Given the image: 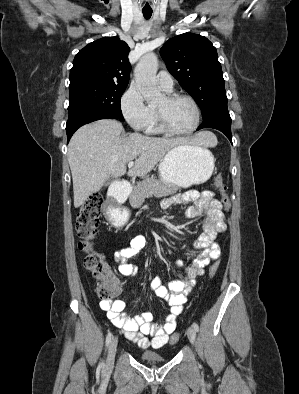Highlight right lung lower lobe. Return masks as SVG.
I'll return each mask as SVG.
<instances>
[{
  "label": "right lung lower lobe",
  "mask_w": 299,
  "mask_h": 394,
  "mask_svg": "<svg viewBox=\"0 0 299 394\" xmlns=\"http://www.w3.org/2000/svg\"><path fill=\"white\" fill-rule=\"evenodd\" d=\"M105 118L118 119L105 111L74 110L69 112V118L66 125L67 141L69 142L73 133L82 125Z\"/></svg>",
  "instance_id": "right-lung-lower-lobe-1"
}]
</instances>
